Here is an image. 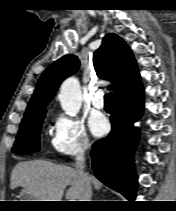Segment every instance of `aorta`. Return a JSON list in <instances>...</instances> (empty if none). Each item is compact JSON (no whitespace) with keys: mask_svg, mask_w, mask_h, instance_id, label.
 I'll list each match as a JSON object with an SVG mask.
<instances>
[{"mask_svg":"<svg viewBox=\"0 0 176 211\" xmlns=\"http://www.w3.org/2000/svg\"><path fill=\"white\" fill-rule=\"evenodd\" d=\"M58 97L62 109L68 115L75 116L82 103V93L78 80L75 77L65 80L61 85Z\"/></svg>","mask_w":176,"mask_h":211,"instance_id":"1","label":"aorta"}]
</instances>
